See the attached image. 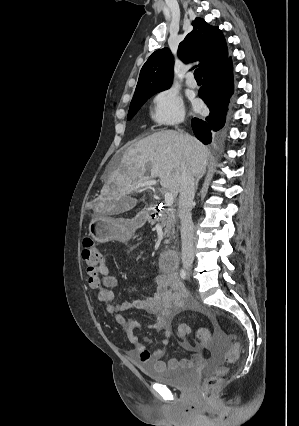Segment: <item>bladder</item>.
<instances>
[{
    "label": "bladder",
    "mask_w": 299,
    "mask_h": 426,
    "mask_svg": "<svg viewBox=\"0 0 299 426\" xmlns=\"http://www.w3.org/2000/svg\"><path fill=\"white\" fill-rule=\"evenodd\" d=\"M138 366L151 380L181 390L191 388L197 380V373L193 369L181 367L159 369L151 363L143 362H138Z\"/></svg>",
    "instance_id": "obj_1"
}]
</instances>
